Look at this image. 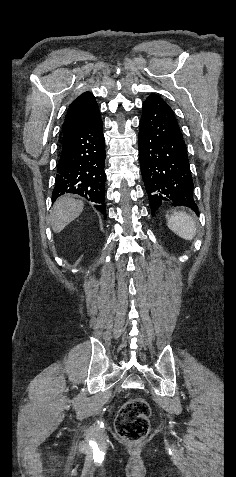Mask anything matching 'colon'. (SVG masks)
<instances>
[{
    "mask_svg": "<svg viewBox=\"0 0 236 477\" xmlns=\"http://www.w3.org/2000/svg\"><path fill=\"white\" fill-rule=\"evenodd\" d=\"M150 407L142 398H132L119 410L115 421L118 436L127 442L143 440L150 429Z\"/></svg>",
    "mask_w": 236,
    "mask_h": 477,
    "instance_id": "1",
    "label": "colon"
}]
</instances>
